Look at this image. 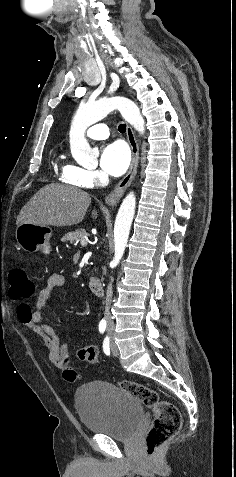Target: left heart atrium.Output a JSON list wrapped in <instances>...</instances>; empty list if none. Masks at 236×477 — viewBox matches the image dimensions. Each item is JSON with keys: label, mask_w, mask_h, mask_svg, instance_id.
<instances>
[{"label": "left heart atrium", "mask_w": 236, "mask_h": 477, "mask_svg": "<svg viewBox=\"0 0 236 477\" xmlns=\"http://www.w3.org/2000/svg\"><path fill=\"white\" fill-rule=\"evenodd\" d=\"M131 160L128 147L121 142H114L104 147L100 165L111 176L122 175L129 167Z\"/></svg>", "instance_id": "1"}]
</instances>
